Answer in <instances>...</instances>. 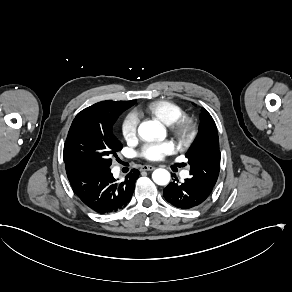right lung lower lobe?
<instances>
[{"label": "right lung lower lobe", "instance_id": "98d812e1", "mask_svg": "<svg viewBox=\"0 0 292 292\" xmlns=\"http://www.w3.org/2000/svg\"><path fill=\"white\" fill-rule=\"evenodd\" d=\"M66 167L68 180L80 200L99 214H109L123 209L131 200L135 181L140 172L132 169L122 182H117L110 168L88 165Z\"/></svg>", "mask_w": 292, "mask_h": 292}]
</instances>
